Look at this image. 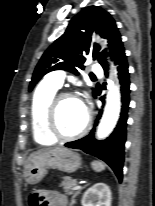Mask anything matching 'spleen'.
Returning a JSON list of instances; mask_svg holds the SVG:
<instances>
[{"mask_svg":"<svg viewBox=\"0 0 155 206\" xmlns=\"http://www.w3.org/2000/svg\"><path fill=\"white\" fill-rule=\"evenodd\" d=\"M91 166L96 172H101L105 169V165L100 161H93Z\"/></svg>","mask_w":155,"mask_h":206,"instance_id":"3e777b00","label":"spleen"}]
</instances>
